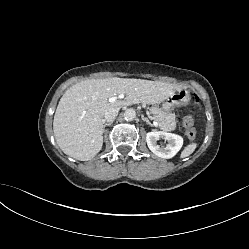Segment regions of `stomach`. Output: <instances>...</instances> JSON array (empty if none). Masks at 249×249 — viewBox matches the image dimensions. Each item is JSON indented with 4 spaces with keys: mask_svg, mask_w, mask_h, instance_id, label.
I'll list each match as a JSON object with an SVG mask.
<instances>
[{
    "mask_svg": "<svg viewBox=\"0 0 249 249\" xmlns=\"http://www.w3.org/2000/svg\"><path fill=\"white\" fill-rule=\"evenodd\" d=\"M179 96V95H178ZM177 94H173L169 98L166 99L162 104V110L165 112H170L174 109L176 103L179 101L181 97H178Z\"/></svg>",
    "mask_w": 249,
    "mask_h": 249,
    "instance_id": "stomach-1",
    "label": "stomach"
}]
</instances>
